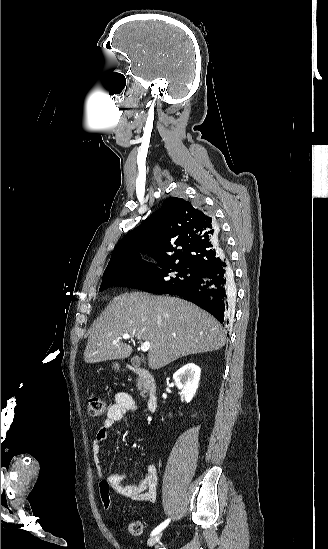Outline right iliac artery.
<instances>
[{
    "label": "right iliac artery",
    "instance_id": "right-iliac-artery-1",
    "mask_svg": "<svg viewBox=\"0 0 328 549\" xmlns=\"http://www.w3.org/2000/svg\"><path fill=\"white\" fill-rule=\"evenodd\" d=\"M170 522V519L165 520L163 523H161L159 526H157L151 533V535H155L162 531Z\"/></svg>",
    "mask_w": 328,
    "mask_h": 549
}]
</instances>
